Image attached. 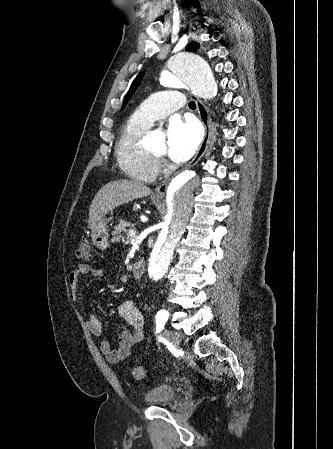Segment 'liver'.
Returning a JSON list of instances; mask_svg holds the SVG:
<instances>
[{
	"label": "liver",
	"mask_w": 333,
	"mask_h": 449,
	"mask_svg": "<svg viewBox=\"0 0 333 449\" xmlns=\"http://www.w3.org/2000/svg\"><path fill=\"white\" fill-rule=\"evenodd\" d=\"M147 186L125 179L115 180L104 185L94 197L89 210L88 227L93 228L108 212L114 208L150 195Z\"/></svg>",
	"instance_id": "liver-1"
}]
</instances>
